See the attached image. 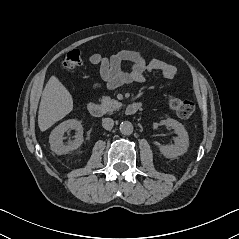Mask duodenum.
<instances>
[{"label":"duodenum","instance_id":"410a0bca","mask_svg":"<svg viewBox=\"0 0 239 239\" xmlns=\"http://www.w3.org/2000/svg\"><path fill=\"white\" fill-rule=\"evenodd\" d=\"M141 107H142V104L140 102L130 103L129 105H127L125 113L127 115H133L137 113L141 109ZM88 111L94 117H102L104 113L102 106L99 103L94 101L88 104Z\"/></svg>","mask_w":239,"mask_h":239}]
</instances>
